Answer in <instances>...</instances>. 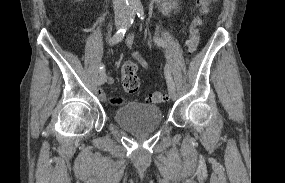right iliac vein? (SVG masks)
Here are the masks:
<instances>
[{"mask_svg": "<svg viewBox=\"0 0 285 183\" xmlns=\"http://www.w3.org/2000/svg\"><path fill=\"white\" fill-rule=\"evenodd\" d=\"M126 18H123V17H120V18H117L116 21H115V25H116V28L117 29H120L121 27H123L126 23ZM105 74L104 73H100V75L98 76V85H102L105 83Z\"/></svg>", "mask_w": 285, "mask_h": 183, "instance_id": "63e3f726", "label": "right iliac vein"}]
</instances>
